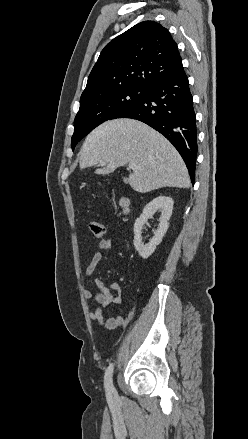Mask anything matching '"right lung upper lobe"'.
I'll list each match as a JSON object with an SVG mask.
<instances>
[{"mask_svg": "<svg viewBox=\"0 0 248 439\" xmlns=\"http://www.w3.org/2000/svg\"><path fill=\"white\" fill-rule=\"evenodd\" d=\"M182 68L170 32L154 21L141 22L114 38L101 51L80 104L121 88L148 89Z\"/></svg>", "mask_w": 248, "mask_h": 439, "instance_id": "1", "label": "right lung upper lobe"}]
</instances>
